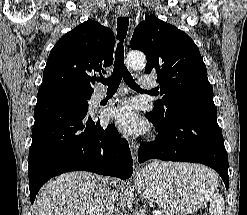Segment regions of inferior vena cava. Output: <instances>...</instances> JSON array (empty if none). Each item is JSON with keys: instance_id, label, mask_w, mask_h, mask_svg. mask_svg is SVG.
Here are the masks:
<instances>
[{"instance_id": "602c4592", "label": "inferior vena cava", "mask_w": 247, "mask_h": 215, "mask_svg": "<svg viewBox=\"0 0 247 215\" xmlns=\"http://www.w3.org/2000/svg\"><path fill=\"white\" fill-rule=\"evenodd\" d=\"M116 196L115 191L108 194L105 203V215H119V210L115 207Z\"/></svg>"}]
</instances>
